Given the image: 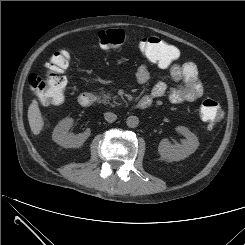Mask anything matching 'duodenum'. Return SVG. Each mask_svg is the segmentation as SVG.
Segmentation results:
<instances>
[{"label":"duodenum","mask_w":245,"mask_h":245,"mask_svg":"<svg viewBox=\"0 0 245 245\" xmlns=\"http://www.w3.org/2000/svg\"><path fill=\"white\" fill-rule=\"evenodd\" d=\"M96 101V95L91 92H84L79 96V104L83 107H89L93 105ZM151 98L143 97L137 102V107L139 109H146L151 105Z\"/></svg>","instance_id":"duodenum-1"}]
</instances>
